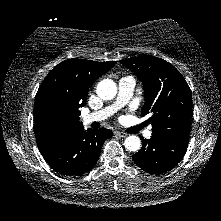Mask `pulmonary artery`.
Listing matches in <instances>:
<instances>
[{
    "label": "pulmonary artery",
    "instance_id": "obj_1",
    "mask_svg": "<svg viewBox=\"0 0 221 221\" xmlns=\"http://www.w3.org/2000/svg\"><path fill=\"white\" fill-rule=\"evenodd\" d=\"M135 88V80L131 76L122 77L118 83V96L116 101L99 111L92 112L83 116V122L85 124H90L92 122H99L107 119L111 115H113L120 107L125 105L131 99L133 95V91ZM144 136L146 138H150L152 136L151 128L147 129L144 132Z\"/></svg>",
    "mask_w": 221,
    "mask_h": 221
}]
</instances>
